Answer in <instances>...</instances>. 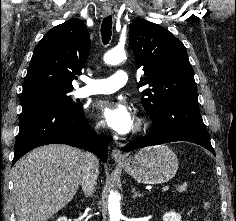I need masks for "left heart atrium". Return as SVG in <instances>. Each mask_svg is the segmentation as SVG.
Instances as JSON below:
<instances>
[{"label": "left heart atrium", "mask_w": 236, "mask_h": 221, "mask_svg": "<svg viewBox=\"0 0 236 221\" xmlns=\"http://www.w3.org/2000/svg\"><path fill=\"white\" fill-rule=\"evenodd\" d=\"M96 110L105 124L116 133L125 135L132 130L134 118L124 102L101 100L97 103Z\"/></svg>", "instance_id": "left-heart-atrium-1"}]
</instances>
